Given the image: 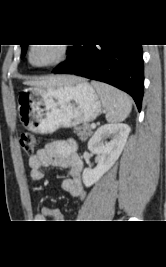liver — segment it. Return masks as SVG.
Wrapping results in <instances>:
<instances>
[{"instance_id":"1","label":"liver","mask_w":166,"mask_h":267,"mask_svg":"<svg viewBox=\"0 0 166 267\" xmlns=\"http://www.w3.org/2000/svg\"><path fill=\"white\" fill-rule=\"evenodd\" d=\"M78 81L81 80L74 76H52L36 81H25L24 84L38 87H53L61 85H73Z\"/></svg>"}]
</instances>
